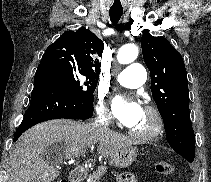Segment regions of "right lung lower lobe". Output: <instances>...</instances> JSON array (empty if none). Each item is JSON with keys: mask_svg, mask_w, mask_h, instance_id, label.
I'll return each instance as SVG.
<instances>
[{"mask_svg": "<svg viewBox=\"0 0 211 182\" xmlns=\"http://www.w3.org/2000/svg\"><path fill=\"white\" fill-rule=\"evenodd\" d=\"M93 116V105L78 99L44 68L37 69L30 107L16 130L14 141L33 125L57 118L88 119Z\"/></svg>", "mask_w": 211, "mask_h": 182, "instance_id": "right-lung-lower-lobe-1", "label": "right lung lower lobe"}]
</instances>
